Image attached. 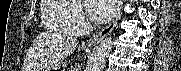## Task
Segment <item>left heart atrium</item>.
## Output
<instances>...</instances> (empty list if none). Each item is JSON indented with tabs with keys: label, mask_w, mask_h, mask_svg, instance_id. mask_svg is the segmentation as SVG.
Segmentation results:
<instances>
[{
	"label": "left heart atrium",
	"mask_w": 181,
	"mask_h": 71,
	"mask_svg": "<svg viewBox=\"0 0 181 71\" xmlns=\"http://www.w3.org/2000/svg\"><path fill=\"white\" fill-rule=\"evenodd\" d=\"M118 3L117 0H89L88 10L95 21L106 22L116 13Z\"/></svg>",
	"instance_id": "1"
}]
</instances>
